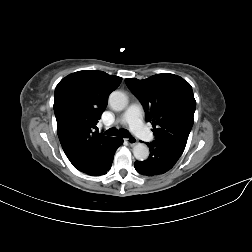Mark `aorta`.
<instances>
[{"label": "aorta", "mask_w": 252, "mask_h": 252, "mask_svg": "<svg viewBox=\"0 0 252 252\" xmlns=\"http://www.w3.org/2000/svg\"><path fill=\"white\" fill-rule=\"evenodd\" d=\"M127 103V96L123 92L114 91L109 96V105L115 111H122ZM133 154L137 160H146L149 156V148L146 144L138 143L133 147Z\"/></svg>", "instance_id": "aorta-1"}]
</instances>
